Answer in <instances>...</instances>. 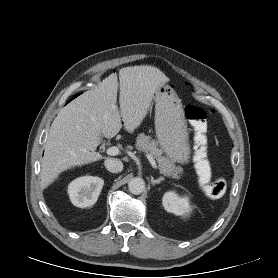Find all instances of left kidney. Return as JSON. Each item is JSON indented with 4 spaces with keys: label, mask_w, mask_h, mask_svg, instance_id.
I'll return each instance as SVG.
<instances>
[{
    "label": "left kidney",
    "mask_w": 278,
    "mask_h": 278,
    "mask_svg": "<svg viewBox=\"0 0 278 278\" xmlns=\"http://www.w3.org/2000/svg\"><path fill=\"white\" fill-rule=\"evenodd\" d=\"M162 204L167 212L184 219L189 218L193 210V206L189 203V198L187 196L179 197L174 191L164 194Z\"/></svg>",
    "instance_id": "obj_1"
}]
</instances>
